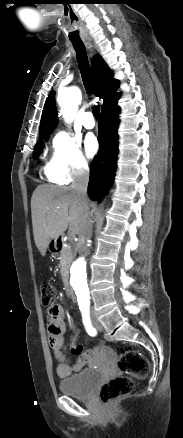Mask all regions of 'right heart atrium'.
Masks as SVG:
<instances>
[{
    "label": "right heart atrium",
    "mask_w": 183,
    "mask_h": 438,
    "mask_svg": "<svg viewBox=\"0 0 183 438\" xmlns=\"http://www.w3.org/2000/svg\"><path fill=\"white\" fill-rule=\"evenodd\" d=\"M52 157L48 167L51 179L67 183L87 172L89 165L79 141L69 133L58 132L52 141Z\"/></svg>",
    "instance_id": "right-heart-atrium-1"
}]
</instances>
